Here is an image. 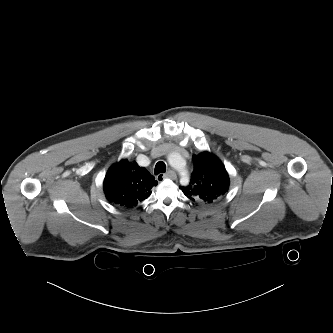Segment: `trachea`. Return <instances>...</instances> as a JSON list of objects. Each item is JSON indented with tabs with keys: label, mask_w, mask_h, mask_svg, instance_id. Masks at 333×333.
<instances>
[{
	"label": "trachea",
	"mask_w": 333,
	"mask_h": 333,
	"mask_svg": "<svg viewBox=\"0 0 333 333\" xmlns=\"http://www.w3.org/2000/svg\"><path fill=\"white\" fill-rule=\"evenodd\" d=\"M165 171H166L165 163L162 161L157 162V164L155 165V169H154L155 175H158L159 173H165Z\"/></svg>",
	"instance_id": "3493384b"
}]
</instances>
